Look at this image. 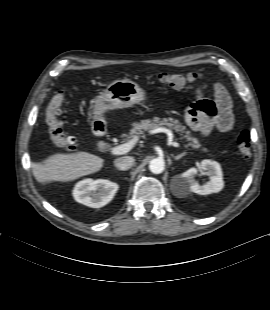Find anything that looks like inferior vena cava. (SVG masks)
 <instances>
[{"instance_id": "602c4592", "label": "inferior vena cava", "mask_w": 270, "mask_h": 310, "mask_svg": "<svg viewBox=\"0 0 270 310\" xmlns=\"http://www.w3.org/2000/svg\"><path fill=\"white\" fill-rule=\"evenodd\" d=\"M134 158L131 156L120 157L115 159L114 165L119 170H128L134 164Z\"/></svg>"}]
</instances>
